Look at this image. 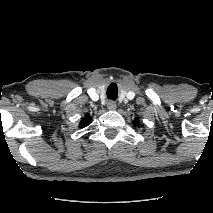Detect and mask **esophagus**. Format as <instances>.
Here are the masks:
<instances>
[{
	"mask_svg": "<svg viewBox=\"0 0 213 213\" xmlns=\"http://www.w3.org/2000/svg\"><path fill=\"white\" fill-rule=\"evenodd\" d=\"M107 108H108L109 110H116L117 105H116V103H115L114 101H109V102L107 103Z\"/></svg>",
	"mask_w": 213,
	"mask_h": 213,
	"instance_id": "obj_1",
	"label": "esophagus"
}]
</instances>
